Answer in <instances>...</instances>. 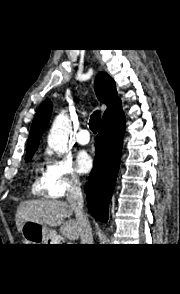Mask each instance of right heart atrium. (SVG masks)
I'll return each instance as SVG.
<instances>
[{"instance_id":"1","label":"right heart atrium","mask_w":180,"mask_h":294,"mask_svg":"<svg viewBox=\"0 0 180 294\" xmlns=\"http://www.w3.org/2000/svg\"><path fill=\"white\" fill-rule=\"evenodd\" d=\"M43 184L48 197L61 198L79 189L81 180L69 158L48 156L43 169Z\"/></svg>"}]
</instances>
